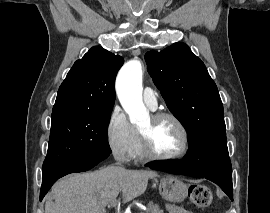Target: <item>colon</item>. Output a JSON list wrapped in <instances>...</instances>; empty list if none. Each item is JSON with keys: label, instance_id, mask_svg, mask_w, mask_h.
Instances as JSON below:
<instances>
[{"label": "colon", "instance_id": "1", "mask_svg": "<svg viewBox=\"0 0 270 213\" xmlns=\"http://www.w3.org/2000/svg\"><path fill=\"white\" fill-rule=\"evenodd\" d=\"M188 194L192 204L198 208H206L210 206L212 202V193L210 189L204 185H190Z\"/></svg>", "mask_w": 270, "mask_h": 213}]
</instances>
